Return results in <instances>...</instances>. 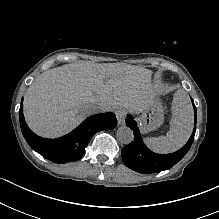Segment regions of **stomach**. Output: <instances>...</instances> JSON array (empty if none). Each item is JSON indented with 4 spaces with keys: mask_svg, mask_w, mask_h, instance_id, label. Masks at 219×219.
Segmentation results:
<instances>
[{
    "mask_svg": "<svg viewBox=\"0 0 219 219\" xmlns=\"http://www.w3.org/2000/svg\"><path fill=\"white\" fill-rule=\"evenodd\" d=\"M137 121L143 133L159 128L164 121L163 106L160 100L154 97L141 112H138Z\"/></svg>",
    "mask_w": 219,
    "mask_h": 219,
    "instance_id": "stomach-1",
    "label": "stomach"
}]
</instances>
